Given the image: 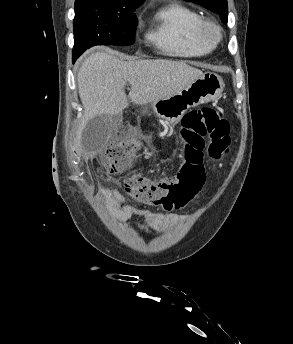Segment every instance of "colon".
Returning <instances> with one entry per match:
<instances>
[{"label": "colon", "instance_id": "1", "mask_svg": "<svg viewBox=\"0 0 293 344\" xmlns=\"http://www.w3.org/2000/svg\"><path fill=\"white\" fill-rule=\"evenodd\" d=\"M180 136L183 166L172 179H151L132 171L146 146L143 140L131 139L114 144L101 153L97 161L110 174L127 173L122 186L133 199L166 210L178 209L188 204L203 186L195 171L203 165L206 139L211 159H220L227 153L230 145L229 123L220 108L191 110L182 118Z\"/></svg>", "mask_w": 293, "mask_h": 344}]
</instances>
